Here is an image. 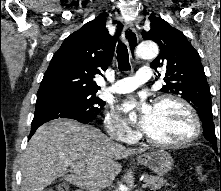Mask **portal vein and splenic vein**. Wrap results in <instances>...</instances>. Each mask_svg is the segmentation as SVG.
Listing matches in <instances>:
<instances>
[{
    "label": "portal vein and splenic vein",
    "instance_id": "1",
    "mask_svg": "<svg viewBox=\"0 0 221 191\" xmlns=\"http://www.w3.org/2000/svg\"><path fill=\"white\" fill-rule=\"evenodd\" d=\"M142 187H146V184H142Z\"/></svg>",
    "mask_w": 221,
    "mask_h": 191
}]
</instances>
